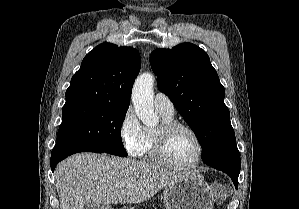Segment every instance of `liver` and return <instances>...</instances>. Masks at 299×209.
Returning <instances> with one entry per match:
<instances>
[{"instance_id": "6515ba94", "label": "liver", "mask_w": 299, "mask_h": 209, "mask_svg": "<svg viewBox=\"0 0 299 209\" xmlns=\"http://www.w3.org/2000/svg\"><path fill=\"white\" fill-rule=\"evenodd\" d=\"M190 174L129 158L75 154L55 169L59 209H84L91 200L103 205L141 203Z\"/></svg>"}]
</instances>
